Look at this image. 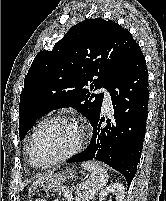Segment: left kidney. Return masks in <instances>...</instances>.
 <instances>
[{"instance_id": "obj_1", "label": "left kidney", "mask_w": 166, "mask_h": 201, "mask_svg": "<svg viewBox=\"0 0 166 201\" xmlns=\"http://www.w3.org/2000/svg\"><path fill=\"white\" fill-rule=\"evenodd\" d=\"M109 193H113L116 197V201H123L124 200V194H125V187L123 184L120 183H114L111 186L105 188V190H102L99 194V201H104L105 198Z\"/></svg>"}]
</instances>
